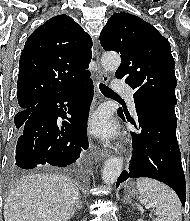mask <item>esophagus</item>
<instances>
[{"mask_svg": "<svg viewBox=\"0 0 190 221\" xmlns=\"http://www.w3.org/2000/svg\"><path fill=\"white\" fill-rule=\"evenodd\" d=\"M96 61L98 64V80L103 83H108L110 80V77H109L108 73L105 72L101 68L100 63H99V55L98 54L96 55ZM110 154H111L110 151L104 150V149L100 150V152H99V156L102 158H106V157L110 156Z\"/></svg>", "mask_w": 190, "mask_h": 221, "instance_id": "34e87169", "label": "esophagus"}]
</instances>
